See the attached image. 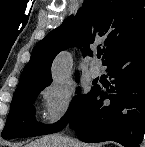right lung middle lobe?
Returning <instances> with one entry per match:
<instances>
[{
  "label": "right lung middle lobe",
  "mask_w": 145,
  "mask_h": 147,
  "mask_svg": "<svg viewBox=\"0 0 145 147\" xmlns=\"http://www.w3.org/2000/svg\"><path fill=\"white\" fill-rule=\"evenodd\" d=\"M76 80H79L78 76ZM45 87L35 86L15 91L6 125L1 134L4 139L40 136L61 131L83 108L94 89L92 87L89 93L75 96L70 108L58 122L45 125L36 122L35 107L33 106L36 97ZM79 92L80 89L77 90V93Z\"/></svg>",
  "instance_id": "right-lung-middle-lobe-1"
}]
</instances>
